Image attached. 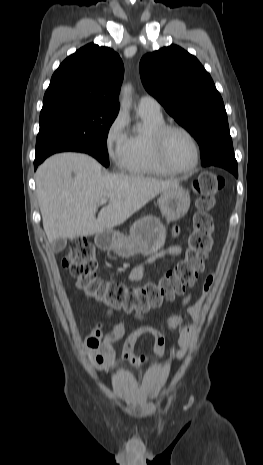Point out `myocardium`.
I'll list each match as a JSON object with an SVG mask.
<instances>
[{
	"label": "myocardium",
	"mask_w": 263,
	"mask_h": 465,
	"mask_svg": "<svg viewBox=\"0 0 263 465\" xmlns=\"http://www.w3.org/2000/svg\"><path fill=\"white\" fill-rule=\"evenodd\" d=\"M172 131H178V132L183 133L191 140V142L194 145L195 160L193 164L187 169H180V168L174 167L167 160L166 153H165V143H166V138L168 134ZM151 141H152L155 158L157 162L159 163V165L162 168H164L166 171L170 173H174V174H188V173L193 172L197 168L200 162V158H201V148H200V144L197 138L187 128L181 125H177V124H163L162 126L157 128L152 133Z\"/></svg>",
	"instance_id": "1"
}]
</instances>
